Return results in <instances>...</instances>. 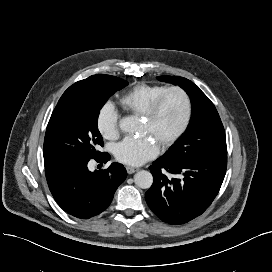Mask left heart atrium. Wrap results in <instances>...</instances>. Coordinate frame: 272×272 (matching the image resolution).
Returning <instances> with one entry per match:
<instances>
[{"label":"left heart atrium","instance_id":"39dd6f15","mask_svg":"<svg viewBox=\"0 0 272 272\" xmlns=\"http://www.w3.org/2000/svg\"><path fill=\"white\" fill-rule=\"evenodd\" d=\"M158 147L148 138L127 137L114 147L115 158L126 165L140 166L158 154Z\"/></svg>","mask_w":272,"mask_h":272}]
</instances>
